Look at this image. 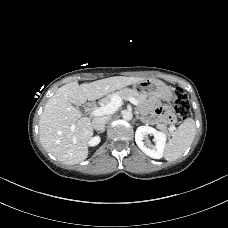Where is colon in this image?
<instances>
[{"mask_svg": "<svg viewBox=\"0 0 228 228\" xmlns=\"http://www.w3.org/2000/svg\"><path fill=\"white\" fill-rule=\"evenodd\" d=\"M174 111L175 115H168L166 121L174 124L178 119L185 120L190 117V99L188 93L182 87L174 89Z\"/></svg>", "mask_w": 228, "mask_h": 228, "instance_id": "5ec220e1", "label": "colon"}]
</instances>
